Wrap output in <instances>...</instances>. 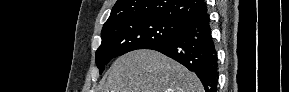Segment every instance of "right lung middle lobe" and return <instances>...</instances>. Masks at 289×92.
Here are the masks:
<instances>
[{
    "mask_svg": "<svg viewBox=\"0 0 289 92\" xmlns=\"http://www.w3.org/2000/svg\"><path fill=\"white\" fill-rule=\"evenodd\" d=\"M183 26L182 23L167 19L140 17L103 27L102 43L96 51V64L100 74L112 58L162 43L177 35Z\"/></svg>",
    "mask_w": 289,
    "mask_h": 92,
    "instance_id": "dd1d6c3e",
    "label": "right lung middle lobe"
}]
</instances>
